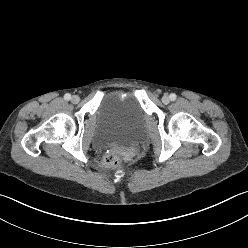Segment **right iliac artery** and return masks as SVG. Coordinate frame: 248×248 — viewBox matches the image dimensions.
I'll use <instances>...</instances> for the list:
<instances>
[{
	"label": "right iliac artery",
	"instance_id": "82829eb1",
	"mask_svg": "<svg viewBox=\"0 0 248 248\" xmlns=\"http://www.w3.org/2000/svg\"><path fill=\"white\" fill-rule=\"evenodd\" d=\"M64 99L65 100H70L71 99V95L69 93L64 95Z\"/></svg>",
	"mask_w": 248,
	"mask_h": 248
}]
</instances>
